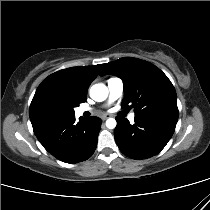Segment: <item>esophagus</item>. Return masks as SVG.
<instances>
[{"label":"esophagus","mask_w":210,"mask_h":210,"mask_svg":"<svg viewBox=\"0 0 210 210\" xmlns=\"http://www.w3.org/2000/svg\"><path fill=\"white\" fill-rule=\"evenodd\" d=\"M108 117H109V115L104 114V115L101 116V119H102V120H106Z\"/></svg>","instance_id":"1"}]
</instances>
